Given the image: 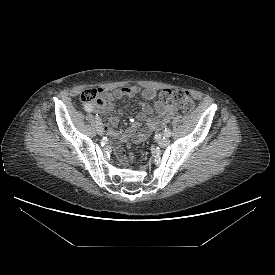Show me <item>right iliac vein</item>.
<instances>
[{
    "mask_svg": "<svg viewBox=\"0 0 275 275\" xmlns=\"http://www.w3.org/2000/svg\"><path fill=\"white\" fill-rule=\"evenodd\" d=\"M95 122H96V129H97V133L102 136L104 131H103V127H102V121L100 119V117H96L95 119Z\"/></svg>",
    "mask_w": 275,
    "mask_h": 275,
    "instance_id": "obj_1",
    "label": "right iliac vein"
}]
</instances>
